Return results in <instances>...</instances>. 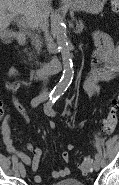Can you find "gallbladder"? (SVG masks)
Here are the masks:
<instances>
[{
	"label": "gallbladder",
	"mask_w": 119,
	"mask_h": 185,
	"mask_svg": "<svg viewBox=\"0 0 119 185\" xmlns=\"http://www.w3.org/2000/svg\"><path fill=\"white\" fill-rule=\"evenodd\" d=\"M0 37L4 43H8L12 37V32L7 29H3L0 31Z\"/></svg>",
	"instance_id": "bac80fb5"
}]
</instances>
